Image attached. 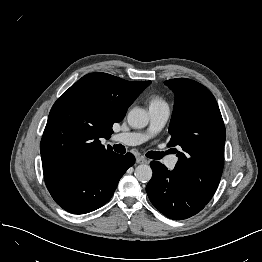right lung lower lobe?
<instances>
[{
	"instance_id": "1",
	"label": "right lung lower lobe",
	"mask_w": 262,
	"mask_h": 262,
	"mask_svg": "<svg viewBox=\"0 0 262 262\" xmlns=\"http://www.w3.org/2000/svg\"><path fill=\"white\" fill-rule=\"evenodd\" d=\"M135 162L131 153H109L95 161L43 167L44 180L55 202L73 214L106 204L120 178Z\"/></svg>"
}]
</instances>
